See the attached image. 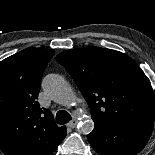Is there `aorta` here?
I'll list each match as a JSON object with an SVG mask.
<instances>
[{"label": "aorta", "mask_w": 155, "mask_h": 155, "mask_svg": "<svg viewBox=\"0 0 155 155\" xmlns=\"http://www.w3.org/2000/svg\"><path fill=\"white\" fill-rule=\"evenodd\" d=\"M43 89L57 103L69 106L74 101V93L67 81L58 74H49L43 80ZM78 129L83 134H89L94 129V122L90 117L78 123Z\"/></svg>", "instance_id": "obj_1"}]
</instances>
